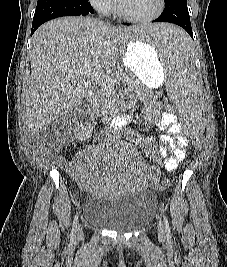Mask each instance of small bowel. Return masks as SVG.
I'll return each mask as SVG.
<instances>
[{
	"label": "small bowel",
	"mask_w": 227,
	"mask_h": 267,
	"mask_svg": "<svg viewBox=\"0 0 227 267\" xmlns=\"http://www.w3.org/2000/svg\"><path fill=\"white\" fill-rule=\"evenodd\" d=\"M143 117L148 122L155 124L164 133L157 138L136 134L134 140L144 146L155 158L163 160V168L173 172L178 166V160L184 155L188 145V138L184 137L182 125L173 113L161 110V105L156 100H150L145 104ZM136 119L130 115L115 117L111 122L114 134H122L130 127L135 126ZM65 170L82 186H85L90 178V170L80 158L64 163Z\"/></svg>",
	"instance_id": "small-bowel-1"
}]
</instances>
